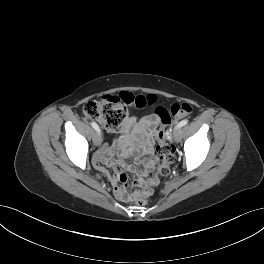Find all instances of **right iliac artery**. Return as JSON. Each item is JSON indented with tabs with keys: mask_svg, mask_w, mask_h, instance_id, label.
I'll return each instance as SVG.
<instances>
[{
	"mask_svg": "<svg viewBox=\"0 0 264 264\" xmlns=\"http://www.w3.org/2000/svg\"><path fill=\"white\" fill-rule=\"evenodd\" d=\"M91 125L97 132H100V128L95 122H91Z\"/></svg>",
	"mask_w": 264,
	"mask_h": 264,
	"instance_id": "right-iliac-artery-1",
	"label": "right iliac artery"
}]
</instances>
